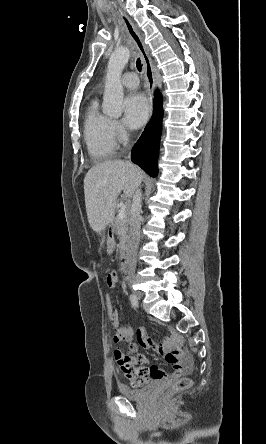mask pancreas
<instances>
[{"label": "pancreas", "mask_w": 266, "mask_h": 444, "mask_svg": "<svg viewBox=\"0 0 266 444\" xmlns=\"http://www.w3.org/2000/svg\"><path fill=\"white\" fill-rule=\"evenodd\" d=\"M128 224L129 218L126 213V216L123 218H119L118 216L115 219V231L120 236V246L123 249L127 242V233H128ZM123 257V254H121Z\"/></svg>", "instance_id": "obj_1"}]
</instances>
